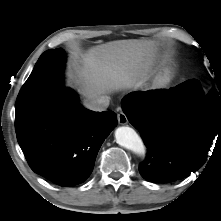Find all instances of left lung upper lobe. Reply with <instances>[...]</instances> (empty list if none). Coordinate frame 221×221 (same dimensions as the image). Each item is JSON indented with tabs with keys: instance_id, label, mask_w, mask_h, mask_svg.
I'll list each match as a JSON object with an SVG mask.
<instances>
[{
	"instance_id": "1",
	"label": "left lung upper lobe",
	"mask_w": 221,
	"mask_h": 221,
	"mask_svg": "<svg viewBox=\"0 0 221 221\" xmlns=\"http://www.w3.org/2000/svg\"><path fill=\"white\" fill-rule=\"evenodd\" d=\"M184 101L189 102H199V101H208L210 99H216L217 102L221 103V91H217L215 88L211 89L207 95L204 94L200 87V91L198 92L197 96H187V97H181Z\"/></svg>"
}]
</instances>
